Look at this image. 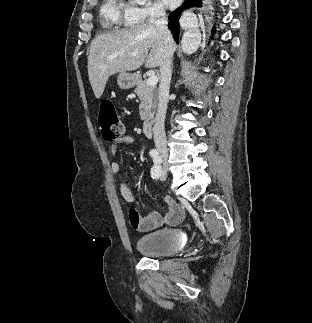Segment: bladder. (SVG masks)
<instances>
[{"instance_id": "bladder-1", "label": "bladder", "mask_w": 312, "mask_h": 323, "mask_svg": "<svg viewBox=\"0 0 312 323\" xmlns=\"http://www.w3.org/2000/svg\"><path fill=\"white\" fill-rule=\"evenodd\" d=\"M136 246L142 252L143 257H170L178 252L179 249L178 232L172 229H160L153 233L139 236Z\"/></svg>"}]
</instances>
